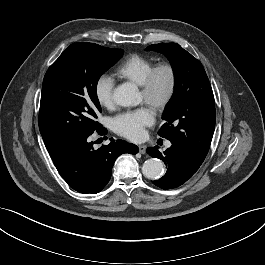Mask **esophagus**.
Listing matches in <instances>:
<instances>
[{"label":"esophagus","instance_id":"obj_1","mask_svg":"<svg viewBox=\"0 0 265 265\" xmlns=\"http://www.w3.org/2000/svg\"><path fill=\"white\" fill-rule=\"evenodd\" d=\"M138 148H139V152L141 154H145L146 149H147V146L146 145H139Z\"/></svg>","mask_w":265,"mask_h":265}]
</instances>
